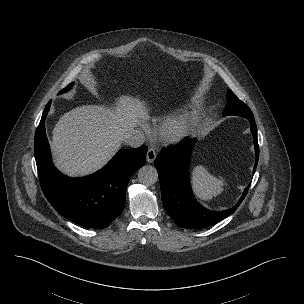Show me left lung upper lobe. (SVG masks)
I'll return each mask as SVG.
<instances>
[{
  "mask_svg": "<svg viewBox=\"0 0 304 304\" xmlns=\"http://www.w3.org/2000/svg\"><path fill=\"white\" fill-rule=\"evenodd\" d=\"M227 115H237L247 119L254 118L249 107L238 99L231 90H228V103L223 111V116Z\"/></svg>",
  "mask_w": 304,
  "mask_h": 304,
  "instance_id": "left-lung-upper-lobe-1",
  "label": "left lung upper lobe"
}]
</instances>
